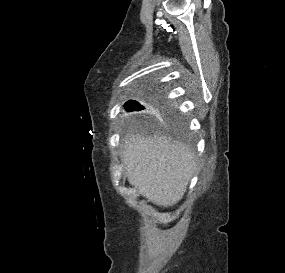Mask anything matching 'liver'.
<instances>
[{
	"label": "liver",
	"instance_id": "liver-1",
	"mask_svg": "<svg viewBox=\"0 0 285 273\" xmlns=\"http://www.w3.org/2000/svg\"><path fill=\"white\" fill-rule=\"evenodd\" d=\"M121 158L129 183L148 201L163 207L183 198L196 168L191 150L158 136H125Z\"/></svg>",
	"mask_w": 285,
	"mask_h": 273
}]
</instances>
